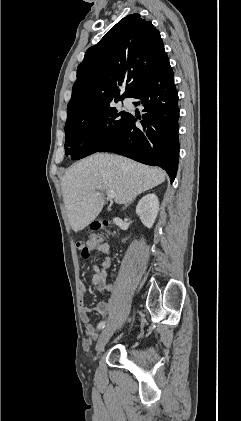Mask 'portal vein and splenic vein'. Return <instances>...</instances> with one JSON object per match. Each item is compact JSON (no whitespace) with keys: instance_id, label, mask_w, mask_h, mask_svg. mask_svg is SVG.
<instances>
[{"instance_id":"obj_1","label":"portal vein and splenic vein","mask_w":241,"mask_h":421,"mask_svg":"<svg viewBox=\"0 0 241 421\" xmlns=\"http://www.w3.org/2000/svg\"><path fill=\"white\" fill-rule=\"evenodd\" d=\"M114 197H115V192H113V191H108L107 192V198L113 199Z\"/></svg>"}]
</instances>
